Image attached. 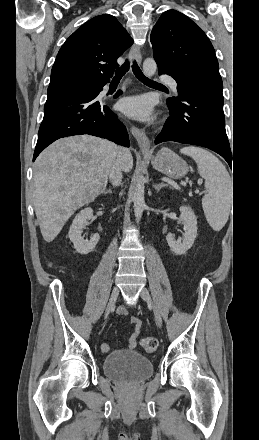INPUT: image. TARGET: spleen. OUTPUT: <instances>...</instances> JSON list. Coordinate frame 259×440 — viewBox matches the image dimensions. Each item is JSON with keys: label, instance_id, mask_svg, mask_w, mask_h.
<instances>
[{"label": "spleen", "instance_id": "1", "mask_svg": "<svg viewBox=\"0 0 259 440\" xmlns=\"http://www.w3.org/2000/svg\"><path fill=\"white\" fill-rule=\"evenodd\" d=\"M181 153L192 157L198 172L205 179L206 194L202 198L205 217L215 231L226 224L232 203V180L222 162L200 147H184Z\"/></svg>", "mask_w": 259, "mask_h": 440}]
</instances>
